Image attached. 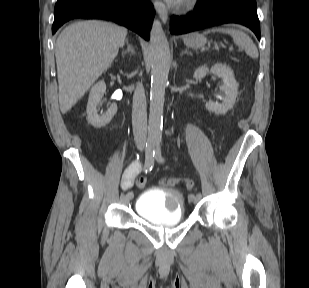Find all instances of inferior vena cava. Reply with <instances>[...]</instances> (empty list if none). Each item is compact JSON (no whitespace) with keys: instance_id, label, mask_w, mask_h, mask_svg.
<instances>
[{"instance_id":"602c4592","label":"inferior vena cava","mask_w":309,"mask_h":288,"mask_svg":"<svg viewBox=\"0 0 309 288\" xmlns=\"http://www.w3.org/2000/svg\"><path fill=\"white\" fill-rule=\"evenodd\" d=\"M132 127L137 145H145L147 139L146 96L142 84H138L133 95Z\"/></svg>"}]
</instances>
